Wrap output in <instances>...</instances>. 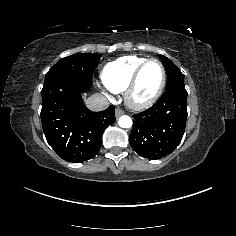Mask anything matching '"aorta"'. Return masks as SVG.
<instances>
[{
  "instance_id": "1",
  "label": "aorta",
  "mask_w": 236,
  "mask_h": 236,
  "mask_svg": "<svg viewBox=\"0 0 236 236\" xmlns=\"http://www.w3.org/2000/svg\"><path fill=\"white\" fill-rule=\"evenodd\" d=\"M118 125L121 128H130L132 126V119L128 115H122L118 119Z\"/></svg>"
}]
</instances>
